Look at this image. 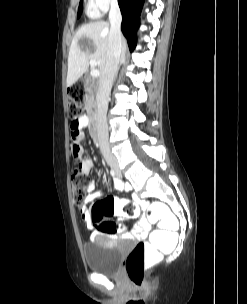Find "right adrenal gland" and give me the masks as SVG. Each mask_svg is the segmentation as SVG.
<instances>
[{
  "instance_id": "1",
  "label": "right adrenal gland",
  "mask_w": 247,
  "mask_h": 304,
  "mask_svg": "<svg viewBox=\"0 0 247 304\" xmlns=\"http://www.w3.org/2000/svg\"><path fill=\"white\" fill-rule=\"evenodd\" d=\"M123 63H125V61H123ZM117 75H118V72L116 73L115 80H116V78H117ZM115 80H114V81H115Z\"/></svg>"
}]
</instances>
